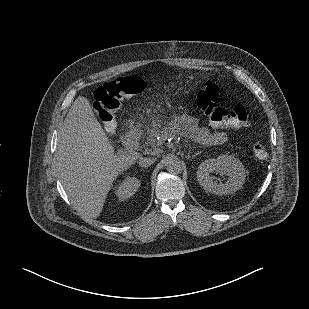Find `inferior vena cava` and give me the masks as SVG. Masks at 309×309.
<instances>
[{
  "label": "inferior vena cava",
  "mask_w": 309,
  "mask_h": 309,
  "mask_svg": "<svg viewBox=\"0 0 309 309\" xmlns=\"http://www.w3.org/2000/svg\"><path fill=\"white\" fill-rule=\"evenodd\" d=\"M155 161H156V158L140 157L138 163H139V166L145 168V167L151 166Z\"/></svg>",
  "instance_id": "inferior-vena-cava-1"
}]
</instances>
